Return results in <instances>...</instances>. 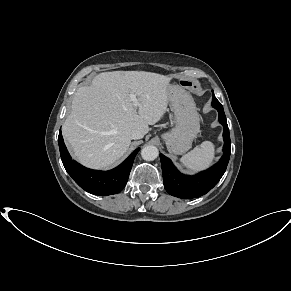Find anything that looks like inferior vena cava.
<instances>
[{
	"mask_svg": "<svg viewBox=\"0 0 291 291\" xmlns=\"http://www.w3.org/2000/svg\"><path fill=\"white\" fill-rule=\"evenodd\" d=\"M144 136V134L140 130H134L131 133V139H140Z\"/></svg>",
	"mask_w": 291,
	"mask_h": 291,
	"instance_id": "obj_1",
	"label": "inferior vena cava"
}]
</instances>
